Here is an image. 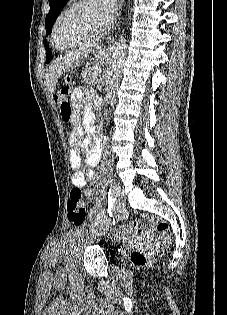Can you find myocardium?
Masks as SVG:
<instances>
[{"instance_id":"myocardium-1","label":"myocardium","mask_w":227,"mask_h":315,"mask_svg":"<svg viewBox=\"0 0 227 315\" xmlns=\"http://www.w3.org/2000/svg\"><path fill=\"white\" fill-rule=\"evenodd\" d=\"M93 0H75L73 3H71L69 6H67L61 13L60 15L58 16V18L56 19L55 21V24H54V27H53V30H52V36H51V41H52V44L53 46L57 49V50H60V51H68V50H72V49H75V48H79L83 45H86L90 42H93V41H97L99 40L103 35L104 33L107 31L108 29V26L109 25H105L104 28L98 32L96 35L88 38L87 40L79 43V44H75V45H71V46H66V47H61L57 44V31H58V26L61 22V20L63 19V17L69 12L71 11L73 8L77 7V6H80V5H83L85 3H89V2H92Z\"/></svg>"}]
</instances>
